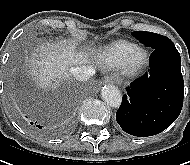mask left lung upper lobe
I'll return each mask as SVG.
<instances>
[{
	"label": "left lung upper lobe",
	"mask_w": 190,
	"mask_h": 165,
	"mask_svg": "<svg viewBox=\"0 0 190 165\" xmlns=\"http://www.w3.org/2000/svg\"><path fill=\"white\" fill-rule=\"evenodd\" d=\"M132 35L137 38L146 47H151L153 49L170 42L171 40L165 36L145 31H135Z\"/></svg>",
	"instance_id": "5c2ea615"
}]
</instances>
